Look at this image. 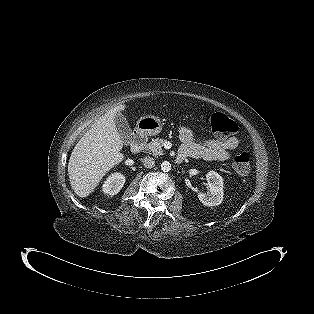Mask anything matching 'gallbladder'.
Segmentation results:
<instances>
[{"instance_id": "gallbladder-1", "label": "gallbladder", "mask_w": 314, "mask_h": 314, "mask_svg": "<svg viewBox=\"0 0 314 314\" xmlns=\"http://www.w3.org/2000/svg\"><path fill=\"white\" fill-rule=\"evenodd\" d=\"M116 129L121 136L124 145H129L132 142V130L129 127L128 121L121 113L115 117Z\"/></svg>"}]
</instances>
